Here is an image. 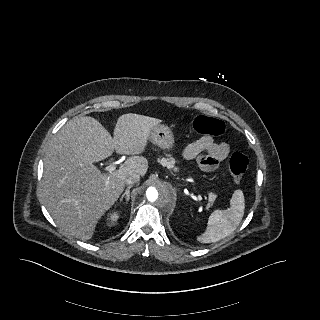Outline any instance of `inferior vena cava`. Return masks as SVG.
Masks as SVG:
<instances>
[{
  "mask_svg": "<svg viewBox=\"0 0 320 320\" xmlns=\"http://www.w3.org/2000/svg\"><path fill=\"white\" fill-rule=\"evenodd\" d=\"M139 178H140V175L139 174H131L129 175L128 177H126L125 179V183L126 184H134V183H137L139 181Z\"/></svg>",
  "mask_w": 320,
  "mask_h": 320,
  "instance_id": "obj_1",
  "label": "inferior vena cava"
}]
</instances>
